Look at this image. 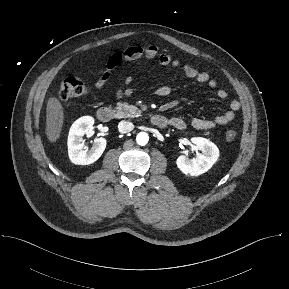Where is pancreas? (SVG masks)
Segmentation results:
<instances>
[{"instance_id": "cf45deb5", "label": "pancreas", "mask_w": 289, "mask_h": 289, "mask_svg": "<svg viewBox=\"0 0 289 289\" xmlns=\"http://www.w3.org/2000/svg\"><path fill=\"white\" fill-rule=\"evenodd\" d=\"M116 109L118 110L119 114L125 117H139L141 115V110L133 105H129L128 103L118 102L116 104Z\"/></svg>"}]
</instances>
